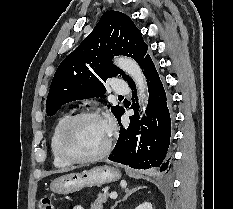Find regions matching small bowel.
<instances>
[{
	"mask_svg": "<svg viewBox=\"0 0 233 209\" xmlns=\"http://www.w3.org/2000/svg\"><path fill=\"white\" fill-rule=\"evenodd\" d=\"M72 209H85V208L82 207V206L77 205V206H74Z\"/></svg>",
	"mask_w": 233,
	"mask_h": 209,
	"instance_id": "small-bowel-1",
	"label": "small bowel"
}]
</instances>
